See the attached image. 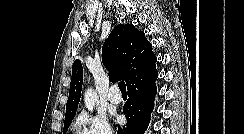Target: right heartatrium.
Segmentation results:
<instances>
[{"label":"right heart atrium","mask_w":244,"mask_h":134,"mask_svg":"<svg viewBox=\"0 0 244 134\" xmlns=\"http://www.w3.org/2000/svg\"><path fill=\"white\" fill-rule=\"evenodd\" d=\"M80 134H113L107 118L101 114L81 113L77 118Z\"/></svg>","instance_id":"right-heart-atrium-1"}]
</instances>
